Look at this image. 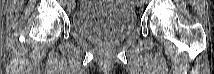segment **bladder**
I'll return each instance as SVG.
<instances>
[{"label": "bladder", "mask_w": 214, "mask_h": 74, "mask_svg": "<svg viewBox=\"0 0 214 74\" xmlns=\"http://www.w3.org/2000/svg\"><path fill=\"white\" fill-rule=\"evenodd\" d=\"M136 26V13L120 1L103 0L83 3L74 12L71 27L89 40L119 41Z\"/></svg>", "instance_id": "obj_1"}]
</instances>
